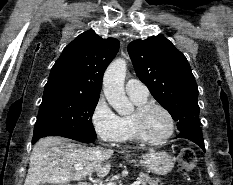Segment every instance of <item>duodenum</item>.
Here are the masks:
<instances>
[{
  "label": "duodenum",
  "instance_id": "1",
  "mask_svg": "<svg viewBox=\"0 0 233 185\" xmlns=\"http://www.w3.org/2000/svg\"><path fill=\"white\" fill-rule=\"evenodd\" d=\"M79 185H89V184H79Z\"/></svg>",
  "mask_w": 233,
  "mask_h": 185
}]
</instances>
